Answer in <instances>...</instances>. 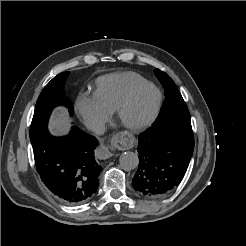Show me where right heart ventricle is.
Segmentation results:
<instances>
[{
	"mask_svg": "<svg viewBox=\"0 0 246 246\" xmlns=\"http://www.w3.org/2000/svg\"><path fill=\"white\" fill-rule=\"evenodd\" d=\"M146 82V78L135 72L107 74L97 79L93 96L111 112L131 90Z\"/></svg>",
	"mask_w": 246,
	"mask_h": 246,
	"instance_id": "e07e8e85",
	"label": "right heart ventricle"
}]
</instances>
